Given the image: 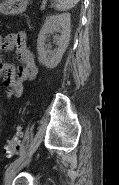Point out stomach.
Returning a JSON list of instances; mask_svg holds the SVG:
<instances>
[{"label": "stomach", "mask_w": 119, "mask_h": 185, "mask_svg": "<svg viewBox=\"0 0 119 185\" xmlns=\"http://www.w3.org/2000/svg\"><path fill=\"white\" fill-rule=\"evenodd\" d=\"M30 0H4L0 3V13L4 15H16L24 12Z\"/></svg>", "instance_id": "0dacf381"}]
</instances>
